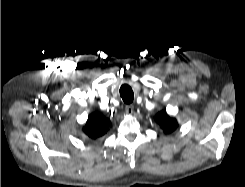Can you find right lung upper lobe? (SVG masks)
I'll return each instance as SVG.
<instances>
[{
    "instance_id": "obj_1",
    "label": "right lung upper lobe",
    "mask_w": 245,
    "mask_h": 187,
    "mask_svg": "<svg viewBox=\"0 0 245 187\" xmlns=\"http://www.w3.org/2000/svg\"><path fill=\"white\" fill-rule=\"evenodd\" d=\"M111 122L99 113H92L86 125L84 126V132L92 139H96L104 135L107 131Z\"/></svg>"
}]
</instances>
